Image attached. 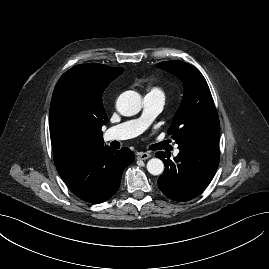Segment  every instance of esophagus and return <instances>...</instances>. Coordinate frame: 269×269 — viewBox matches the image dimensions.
<instances>
[{"label":"esophagus","mask_w":269,"mask_h":269,"mask_svg":"<svg viewBox=\"0 0 269 269\" xmlns=\"http://www.w3.org/2000/svg\"><path fill=\"white\" fill-rule=\"evenodd\" d=\"M151 157V154L148 152H139L137 153V159L139 160H146Z\"/></svg>","instance_id":"esophagus-1"}]
</instances>
